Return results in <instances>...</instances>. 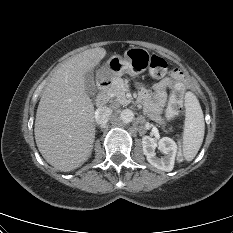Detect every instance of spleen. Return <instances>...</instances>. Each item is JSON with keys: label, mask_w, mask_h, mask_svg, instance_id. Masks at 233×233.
I'll return each instance as SVG.
<instances>
[{"label": "spleen", "mask_w": 233, "mask_h": 233, "mask_svg": "<svg viewBox=\"0 0 233 233\" xmlns=\"http://www.w3.org/2000/svg\"><path fill=\"white\" fill-rule=\"evenodd\" d=\"M186 118L184 123L182 153L186 161H192L198 153L205 132L204 116L196 96L185 95Z\"/></svg>", "instance_id": "obj_1"}]
</instances>
